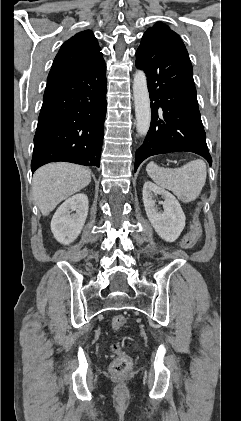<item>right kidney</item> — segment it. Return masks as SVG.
<instances>
[{
  "mask_svg": "<svg viewBox=\"0 0 241 421\" xmlns=\"http://www.w3.org/2000/svg\"><path fill=\"white\" fill-rule=\"evenodd\" d=\"M88 204L85 194H76L57 209L51 220V231L58 242L68 245L79 236L88 215Z\"/></svg>",
  "mask_w": 241,
  "mask_h": 421,
  "instance_id": "obj_1",
  "label": "right kidney"
}]
</instances>
